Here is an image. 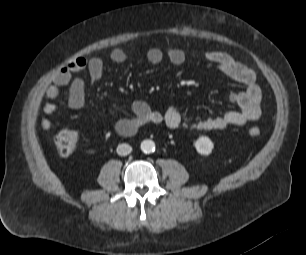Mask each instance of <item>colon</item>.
<instances>
[{"label": "colon", "mask_w": 306, "mask_h": 255, "mask_svg": "<svg viewBox=\"0 0 306 255\" xmlns=\"http://www.w3.org/2000/svg\"><path fill=\"white\" fill-rule=\"evenodd\" d=\"M260 134L261 130L258 127H252L249 130L251 137H258ZM54 142L60 155L67 157L74 153L78 142V135L74 130L64 129L55 136Z\"/></svg>", "instance_id": "obj_1"}]
</instances>
